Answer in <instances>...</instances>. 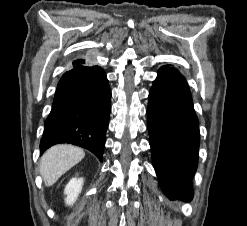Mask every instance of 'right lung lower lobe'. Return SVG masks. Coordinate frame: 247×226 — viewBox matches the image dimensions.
I'll return each mask as SVG.
<instances>
[{"mask_svg": "<svg viewBox=\"0 0 247 226\" xmlns=\"http://www.w3.org/2000/svg\"><path fill=\"white\" fill-rule=\"evenodd\" d=\"M110 102L104 70L83 59L73 61L60 79L45 121L41 153L55 144L69 143L90 150L102 161Z\"/></svg>", "mask_w": 247, "mask_h": 226, "instance_id": "1", "label": "right lung lower lobe"}]
</instances>
